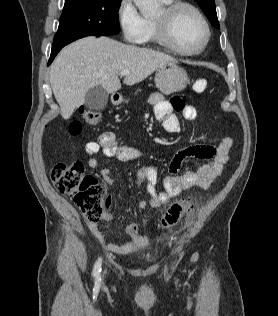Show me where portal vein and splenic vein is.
<instances>
[{
  "mask_svg": "<svg viewBox=\"0 0 278 316\" xmlns=\"http://www.w3.org/2000/svg\"><path fill=\"white\" fill-rule=\"evenodd\" d=\"M129 74V71L128 70H122L121 72H120V75L121 76H126V75H128Z\"/></svg>",
  "mask_w": 278,
  "mask_h": 316,
  "instance_id": "18ae733b",
  "label": "portal vein and splenic vein"
}]
</instances>
